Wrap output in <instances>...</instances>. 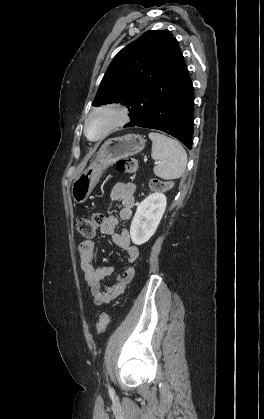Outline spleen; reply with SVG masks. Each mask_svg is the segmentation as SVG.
Segmentation results:
<instances>
[{"instance_id":"3e777b00","label":"spleen","mask_w":264,"mask_h":419,"mask_svg":"<svg viewBox=\"0 0 264 419\" xmlns=\"http://www.w3.org/2000/svg\"><path fill=\"white\" fill-rule=\"evenodd\" d=\"M152 141L151 156L158 161L154 173L165 180L180 178L187 165V153L183 146L175 139L157 132H150Z\"/></svg>"}]
</instances>
